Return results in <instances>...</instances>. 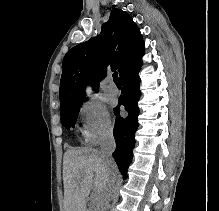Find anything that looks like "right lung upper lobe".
Returning <instances> with one entry per match:
<instances>
[{
    "instance_id": "cb5924a9",
    "label": "right lung upper lobe",
    "mask_w": 219,
    "mask_h": 211,
    "mask_svg": "<svg viewBox=\"0 0 219 211\" xmlns=\"http://www.w3.org/2000/svg\"><path fill=\"white\" fill-rule=\"evenodd\" d=\"M144 41L128 13L113 9L99 36L73 47L63 59L60 103L84 100L85 87L97 92L108 69H118L120 78L141 63Z\"/></svg>"
}]
</instances>
